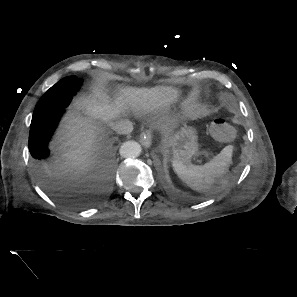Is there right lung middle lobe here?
Masks as SVG:
<instances>
[{"label": "right lung middle lobe", "instance_id": "obj_1", "mask_svg": "<svg viewBox=\"0 0 297 297\" xmlns=\"http://www.w3.org/2000/svg\"><path fill=\"white\" fill-rule=\"evenodd\" d=\"M80 80L76 76H68L51 87L39 100L32 119H42L58 104L72 97L78 90Z\"/></svg>", "mask_w": 297, "mask_h": 297}]
</instances>
